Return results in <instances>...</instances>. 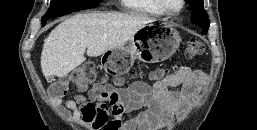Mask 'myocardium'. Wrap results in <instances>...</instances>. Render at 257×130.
<instances>
[{
  "label": "myocardium",
  "instance_id": "1",
  "mask_svg": "<svg viewBox=\"0 0 257 130\" xmlns=\"http://www.w3.org/2000/svg\"><path fill=\"white\" fill-rule=\"evenodd\" d=\"M161 8L168 14L176 15L179 14L185 7V0H180V6L177 9L171 8L167 0H157Z\"/></svg>",
  "mask_w": 257,
  "mask_h": 130
}]
</instances>
